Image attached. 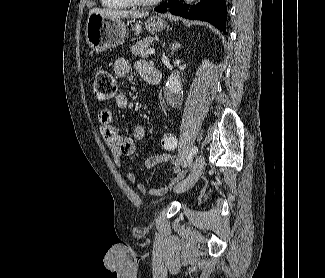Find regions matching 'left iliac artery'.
<instances>
[{
  "mask_svg": "<svg viewBox=\"0 0 325 278\" xmlns=\"http://www.w3.org/2000/svg\"><path fill=\"white\" fill-rule=\"evenodd\" d=\"M197 152H198V148L196 146H194L192 148L190 156H189V166H190V163L192 161V158L197 154Z\"/></svg>",
  "mask_w": 325,
  "mask_h": 278,
  "instance_id": "44dca946",
  "label": "left iliac artery"
}]
</instances>
